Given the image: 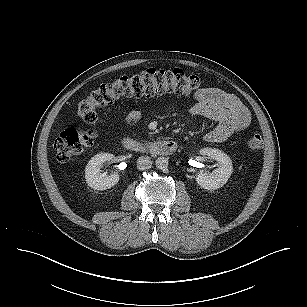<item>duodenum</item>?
Instances as JSON below:
<instances>
[{
	"label": "duodenum",
	"mask_w": 307,
	"mask_h": 307,
	"mask_svg": "<svg viewBox=\"0 0 307 307\" xmlns=\"http://www.w3.org/2000/svg\"><path fill=\"white\" fill-rule=\"evenodd\" d=\"M123 146L133 153L155 156H170L177 150V143L170 139H160L152 143H145L131 137H125Z\"/></svg>",
	"instance_id": "obj_1"
}]
</instances>
